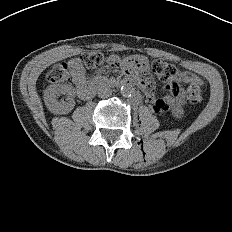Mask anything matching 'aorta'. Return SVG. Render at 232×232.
I'll return each instance as SVG.
<instances>
[{"label":"aorta","instance_id":"aorta-1","mask_svg":"<svg viewBox=\"0 0 232 232\" xmlns=\"http://www.w3.org/2000/svg\"><path fill=\"white\" fill-rule=\"evenodd\" d=\"M134 91L135 90H134L133 86L130 84H125L120 89V93L124 97H130L131 95H133Z\"/></svg>","mask_w":232,"mask_h":232}]
</instances>
